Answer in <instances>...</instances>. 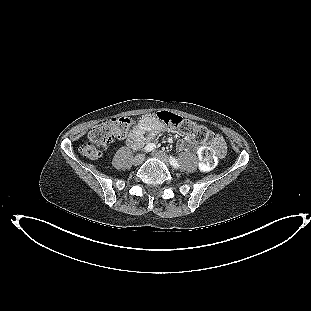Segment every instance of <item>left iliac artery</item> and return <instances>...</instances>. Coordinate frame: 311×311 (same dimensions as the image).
<instances>
[{"instance_id": "1", "label": "left iliac artery", "mask_w": 311, "mask_h": 311, "mask_svg": "<svg viewBox=\"0 0 311 311\" xmlns=\"http://www.w3.org/2000/svg\"><path fill=\"white\" fill-rule=\"evenodd\" d=\"M170 163H171V165L174 167V168H179V163H178V161L174 158V157H172V156H170Z\"/></svg>"}]
</instances>
